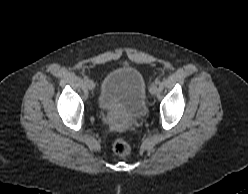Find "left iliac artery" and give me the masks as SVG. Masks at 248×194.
<instances>
[{
    "label": "left iliac artery",
    "instance_id": "left-iliac-artery-1",
    "mask_svg": "<svg viewBox=\"0 0 248 194\" xmlns=\"http://www.w3.org/2000/svg\"><path fill=\"white\" fill-rule=\"evenodd\" d=\"M155 83H156V84H160V80H159V79H156V80H155Z\"/></svg>",
    "mask_w": 248,
    "mask_h": 194
}]
</instances>
